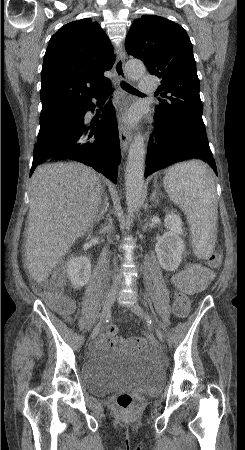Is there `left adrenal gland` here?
Listing matches in <instances>:
<instances>
[{"mask_svg": "<svg viewBox=\"0 0 245 450\" xmlns=\"http://www.w3.org/2000/svg\"><path fill=\"white\" fill-rule=\"evenodd\" d=\"M154 200H156V202H158L156 189L153 190L152 195L150 197V202L154 201Z\"/></svg>", "mask_w": 245, "mask_h": 450, "instance_id": "obj_1", "label": "left adrenal gland"}]
</instances>
